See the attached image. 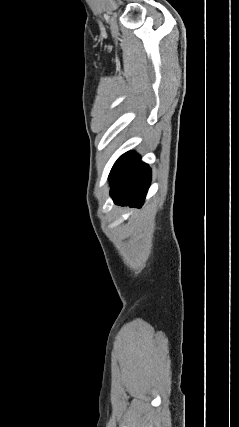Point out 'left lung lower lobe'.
Masks as SVG:
<instances>
[{
  "label": "left lung lower lobe",
  "instance_id": "0a47b994",
  "mask_svg": "<svg viewBox=\"0 0 239 427\" xmlns=\"http://www.w3.org/2000/svg\"><path fill=\"white\" fill-rule=\"evenodd\" d=\"M109 181L116 204L141 207L151 181V170L134 152L123 154L114 164Z\"/></svg>",
  "mask_w": 239,
  "mask_h": 427
}]
</instances>
